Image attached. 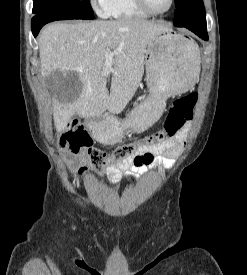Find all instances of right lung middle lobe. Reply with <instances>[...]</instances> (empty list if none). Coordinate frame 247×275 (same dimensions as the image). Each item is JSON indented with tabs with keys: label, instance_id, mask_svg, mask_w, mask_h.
Listing matches in <instances>:
<instances>
[{
	"label": "right lung middle lobe",
	"instance_id": "1",
	"mask_svg": "<svg viewBox=\"0 0 247 275\" xmlns=\"http://www.w3.org/2000/svg\"><path fill=\"white\" fill-rule=\"evenodd\" d=\"M34 14H59L74 19L94 18L90 0H34Z\"/></svg>",
	"mask_w": 247,
	"mask_h": 275
}]
</instances>
